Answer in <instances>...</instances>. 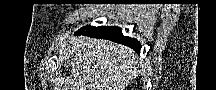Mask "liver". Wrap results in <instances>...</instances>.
<instances>
[{"instance_id": "6515ba94", "label": "liver", "mask_w": 216, "mask_h": 90, "mask_svg": "<svg viewBox=\"0 0 216 90\" xmlns=\"http://www.w3.org/2000/svg\"><path fill=\"white\" fill-rule=\"evenodd\" d=\"M64 60L74 78L71 90H124L138 68L130 48L87 36L70 38Z\"/></svg>"}]
</instances>
